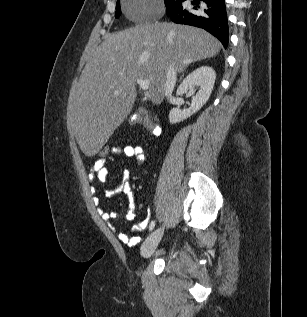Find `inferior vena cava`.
<instances>
[{
    "instance_id": "602c4592",
    "label": "inferior vena cava",
    "mask_w": 307,
    "mask_h": 317,
    "mask_svg": "<svg viewBox=\"0 0 307 317\" xmlns=\"http://www.w3.org/2000/svg\"><path fill=\"white\" fill-rule=\"evenodd\" d=\"M177 80L176 70L173 64H170L166 73V82L164 87V94L168 99H172V92Z\"/></svg>"
}]
</instances>
